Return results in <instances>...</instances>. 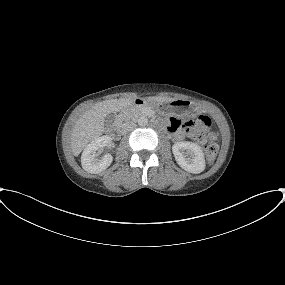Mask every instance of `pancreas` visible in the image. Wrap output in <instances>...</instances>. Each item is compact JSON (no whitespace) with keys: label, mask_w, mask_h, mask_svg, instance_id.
Listing matches in <instances>:
<instances>
[{"label":"pancreas","mask_w":285,"mask_h":285,"mask_svg":"<svg viewBox=\"0 0 285 285\" xmlns=\"http://www.w3.org/2000/svg\"><path fill=\"white\" fill-rule=\"evenodd\" d=\"M145 111L146 110L144 108L128 107L120 114V119L121 121L134 119L140 114H143Z\"/></svg>","instance_id":"cf45deb5"}]
</instances>
